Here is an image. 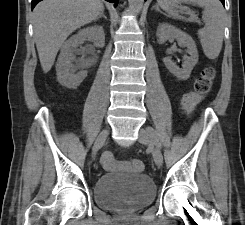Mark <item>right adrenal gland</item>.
<instances>
[{
	"instance_id": "1",
	"label": "right adrenal gland",
	"mask_w": 245,
	"mask_h": 225,
	"mask_svg": "<svg viewBox=\"0 0 245 225\" xmlns=\"http://www.w3.org/2000/svg\"><path fill=\"white\" fill-rule=\"evenodd\" d=\"M104 18V19H107V17L104 15V11L101 13V15L98 17V20L100 19V18Z\"/></svg>"
}]
</instances>
